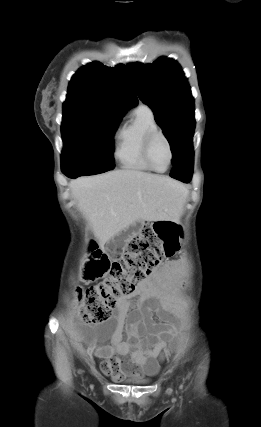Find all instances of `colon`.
Listing matches in <instances>:
<instances>
[{
	"mask_svg": "<svg viewBox=\"0 0 261 427\" xmlns=\"http://www.w3.org/2000/svg\"><path fill=\"white\" fill-rule=\"evenodd\" d=\"M180 238L181 230L175 223L155 222L129 240L121 258L114 262H109L107 255L91 243L92 275L106 274V278L81 293L83 320L86 323L107 320L117 298L131 295L139 281L180 250Z\"/></svg>",
	"mask_w": 261,
	"mask_h": 427,
	"instance_id": "1",
	"label": "colon"
}]
</instances>
